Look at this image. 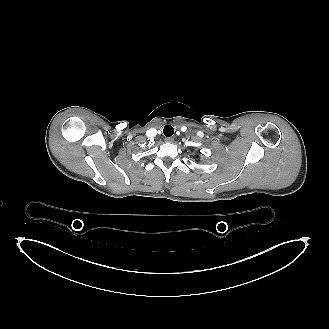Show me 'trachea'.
Masks as SVG:
<instances>
[{"label": "trachea", "instance_id": "obj_1", "mask_svg": "<svg viewBox=\"0 0 329 329\" xmlns=\"http://www.w3.org/2000/svg\"><path fill=\"white\" fill-rule=\"evenodd\" d=\"M163 133L166 137H171L174 133V129L171 125H166L163 129Z\"/></svg>", "mask_w": 329, "mask_h": 329}]
</instances>
